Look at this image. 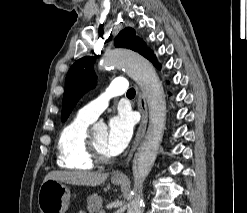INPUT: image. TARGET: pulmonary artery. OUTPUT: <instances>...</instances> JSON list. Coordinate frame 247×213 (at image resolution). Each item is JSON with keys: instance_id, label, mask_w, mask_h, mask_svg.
<instances>
[{"instance_id": "1", "label": "pulmonary artery", "mask_w": 247, "mask_h": 213, "mask_svg": "<svg viewBox=\"0 0 247 213\" xmlns=\"http://www.w3.org/2000/svg\"><path fill=\"white\" fill-rule=\"evenodd\" d=\"M127 89V82L124 78H115L97 99L79 110L78 117L90 122L95 121L96 118L108 107L110 98L125 93Z\"/></svg>"}]
</instances>
